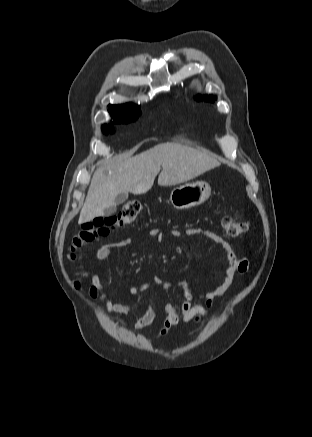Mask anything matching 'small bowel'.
<instances>
[{
	"label": "small bowel",
	"instance_id": "c3829d8e",
	"mask_svg": "<svg viewBox=\"0 0 312 437\" xmlns=\"http://www.w3.org/2000/svg\"><path fill=\"white\" fill-rule=\"evenodd\" d=\"M186 235L202 234L203 236L214 241L220 248V251L224 255L227 261V269L223 282L215 289L203 292L195 295L190 287V284L186 280L179 282L180 287L184 292V301L179 307L174 303L166 301L164 303L165 318L156 338L165 336L169 330L176 326L180 318L186 322H199L205 315H207L209 309L213 306L215 301L222 298L230 289L233 279L237 274H243L248 270L249 262L244 257H239L234 252L232 246L222 239L216 233L201 228H189L184 232ZM182 231L174 229L171 231V235L175 238H181L184 234ZM154 238H161L162 234L158 230H154L151 233ZM135 242L133 239L126 238L117 242L105 243L101 245L95 254V258L98 261H103L112 255L113 249L118 246H130ZM180 250V248H177ZM154 283L161 285L163 289L168 290L171 285L167 282H162L158 277L154 279ZM90 295L100 301L103 308L108 312L116 313L120 315H128L135 310L134 305L124 304L119 301H112L104 290L100 277L93 273L90 276ZM150 288L149 283H143L139 287H132V294H139L145 292ZM196 300L203 303H197ZM156 317V311L152 304H149L144 314L135 322L130 328L131 331H138L148 326Z\"/></svg>",
	"mask_w": 312,
	"mask_h": 437
}]
</instances>
